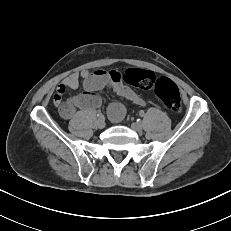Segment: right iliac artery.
<instances>
[{"instance_id":"1","label":"right iliac artery","mask_w":231,"mask_h":231,"mask_svg":"<svg viewBox=\"0 0 231 231\" xmlns=\"http://www.w3.org/2000/svg\"><path fill=\"white\" fill-rule=\"evenodd\" d=\"M97 116H98L99 119H103L104 118V116H103L102 113H98Z\"/></svg>"}]
</instances>
